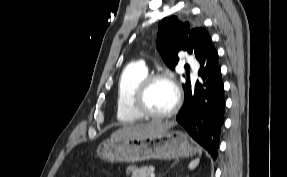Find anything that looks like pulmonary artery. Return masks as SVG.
<instances>
[{
    "mask_svg": "<svg viewBox=\"0 0 287 177\" xmlns=\"http://www.w3.org/2000/svg\"><path fill=\"white\" fill-rule=\"evenodd\" d=\"M186 63L189 65H193L196 63V60L193 56L186 54Z\"/></svg>",
    "mask_w": 287,
    "mask_h": 177,
    "instance_id": "e3ab8cb5",
    "label": "pulmonary artery"
}]
</instances>
